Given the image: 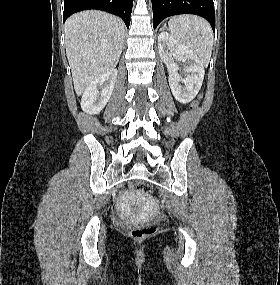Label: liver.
Segmentation results:
<instances>
[{
    "label": "liver",
    "mask_w": 280,
    "mask_h": 285,
    "mask_svg": "<svg viewBox=\"0 0 280 285\" xmlns=\"http://www.w3.org/2000/svg\"><path fill=\"white\" fill-rule=\"evenodd\" d=\"M125 26L118 17L102 11H83L65 23V46L77 95L120 58Z\"/></svg>",
    "instance_id": "liver-1"
}]
</instances>
